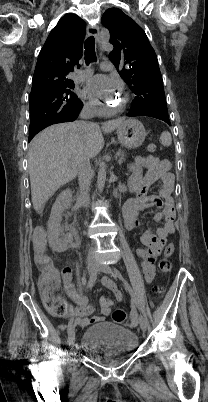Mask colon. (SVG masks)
Wrapping results in <instances>:
<instances>
[{
	"label": "colon",
	"mask_w": 208,
	"mask_h": 402,
	"mask_svg": "<svg viewBox=\"0 0 208 402\" xmlns=\"http://www.w3.org/2000/svg\"><path fill=\"white\" fill-rule=\"evenodd\" d=\"M147 150L155 152L156 146L153 143L148 144ZM47 232H37L33 238V243L38 250L34 251V258L37 259L36 267L42 277L41 282L38 283L39 294L43 295V307L49 308L50 314H70L71 306L69 299H59L60 286L63 284L62 277L59 273L55 272L53 262H50L47 256ZM174 252V244L167 245L163 257L158 263V271L161 275H167L172 270L171 256ZM164 291L163 286L157 287V293L162 294ZM113 321L117 324L124 325L127 323L126 312L122 309H116L112 315Z\"/></svg>",
	"instance_id": "1"
}]
</instances>
